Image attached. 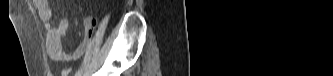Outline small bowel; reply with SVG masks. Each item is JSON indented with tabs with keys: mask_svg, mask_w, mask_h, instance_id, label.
<instances>
[{
	"mask_svg": "<svg viewBox=\"0 0 333 76\" xmlns=\"http://www.w3.org/2000/svg\"><path fill=\"white\" fill-rule=\"evenodd\" d=\"M34 5L38 10L39 19L44 23L46 30L45 44L46 51L49 57L56 61H68L71 58H78L88 47L94 28L96 26V19L88 16L84 20V39L83 42L77 47L73 56H69L63 51L62 38L67 36L70 30V23L68 20H61L58 27H54L51 22V10L47 0H33ZM79 9L85 12V9L80 6Z\"/></svg>",
	"mask_w": 333,
	"mask_h": 76,
	"instance_id": "obj_1",
	"label": "small bowel"
}]
</instances>
